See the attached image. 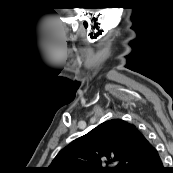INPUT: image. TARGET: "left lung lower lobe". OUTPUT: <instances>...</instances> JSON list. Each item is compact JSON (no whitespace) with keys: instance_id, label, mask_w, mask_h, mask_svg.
Returning <instances> with one entry per match:
<instances>
[{"instance_id":"1","label":"left lung lower lobe","mask_w":173,"mask_h":173,"mask_svg":"<svg viewBox=\"0 0 173 173\" xmlns=\"http://www.w3.org/2000/svg\"><path fill=\"white\" fill-rule=\"evenodd\" d=\"M157 149L152 145L131 173H166Z\"/></svg>"}]
</instances>
